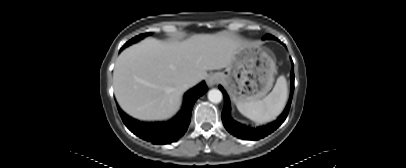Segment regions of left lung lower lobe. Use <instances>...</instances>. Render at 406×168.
<instances>
[{
    "mask_svg": "<svg viewBox=\"0 0 406 168\" xmlns=\"http://www.w3.org/2000/svg\"><path fill=\"white\" fill-rule=\"evenodd\" d=\"M219 89L223 92V95H224V109L222 111L221 118H222L223 124H224L225 128L228 130V132H230L234 136H237L240 139L258 140V139H261V138L269 135L270 133H272L286 119V117L289 113V109H290L291 102H292L293 91H294V70L292 69V72H291V94H290V98H289V101H288V104H287L285 110L277 118V120L275 122L270 123L268 125H264L262 127H257L256 129H252L249 126L240 124L232 119V117L230 115L229 97L221 86H219Z\"/></svg>",
    "mask_w": 406,
    "mask_h": 168,
    "instance_id": "1",
    "label": "left lung lower lobe"
}]
</instances>
